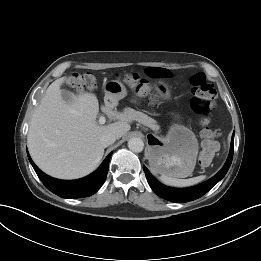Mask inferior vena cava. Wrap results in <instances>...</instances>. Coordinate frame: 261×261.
I'll return each mask as SVG.
<instances>
[{
  "label": "inferior vena cava",
  "mask_w": 261,
  "mask_h": 261,
  "mask_svg": "<svg viewBox=\"0 0 261 261\" xmlns=\"http://www.w3.org/2000/svg\"><path fill=\"white\" fill-rule=\"evenodd\" d=\"M116 141V137L113 134H105L100 138V143L103 147H108Z\"/></svg>",
  "instance_id": "602c4592"
}]
</instances>
